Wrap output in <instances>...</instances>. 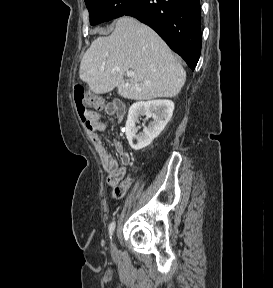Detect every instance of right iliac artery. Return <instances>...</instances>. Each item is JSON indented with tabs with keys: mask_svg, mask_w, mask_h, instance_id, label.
<instances>
[{
	"mask_svg": "<svg viewBox=\"0 0 273 288\" xmlns=\"http://www.w3.org/2000/svg\"><path fill=\"white\" fill-rule=\"evenodd\" d=\"M114 230H115V222H112V223L109 225L110 238H111V235L113 234Z\"/></svg>",
	"mask_w": 273,
	"mask_h": 288,
	"instance_id": "1",
	"label": "right iliac artery"
}]
</instances>
